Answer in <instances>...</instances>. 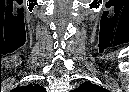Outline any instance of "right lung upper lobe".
I'll return each mask as SVG.
<instances>
[{"mask_svg": "<svg viewBox=\"0 0 129 92\" xmlns=\"http://www.w3.org/2000/svg\"><path fill=\"white\" fill-rule=\"evenodd\" d=\"M20 91H31V92H43L45 89L41 87L40 85L32 86L28 85L25 87H20Z\"/></svg>", "mask_w": 129, "mask_h": 92, "instance_id": "obj_1", "label": "right lung upper lobe"}]
</instances>
